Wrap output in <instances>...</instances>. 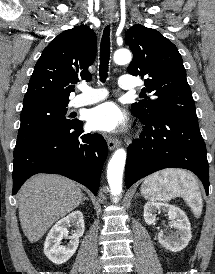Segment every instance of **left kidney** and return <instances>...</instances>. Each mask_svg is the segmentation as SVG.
Masks as SVG:
<instances>
[{
    "label": "left kidney",
    "mask_w": 215,
    "mask_h": 274,
    "mask_svg": "<svg viewBox=\"0 0 215 274\" xmlns=\"http://www.w3.org/2000/svg\"><path fill=\"white\" fill-rule=\"evenodd\" d=\"M163 211L172 220L176 229L175 233L165 234L160 231L158 234L159 243L167 250L178 252L183 250L192 238L191 225L187 215L180 208L167 203L148 202L144 206V220L147 224H155L156 213Z\"/></svg>",
    "instance_id": "left-kidney-1"
}]
</instances>
